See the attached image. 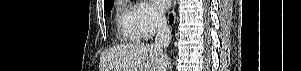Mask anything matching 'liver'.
<instances>
[{
  "label": "liver",
  "instance_id": "6515ba94",
  "mask_svg": "<svg viewBox=\"0 0 301 71\" xmlns=\"http://www.w3.org/2000/svg\"><path fill=\"white\" fill-rule=\"evenodd\" d=\"M168 57L154 46L140 42L103 52L102 71H166Z\"/></svg>",
  "mask_w": 301,
  "mask_h": 71
}]
</instances>
